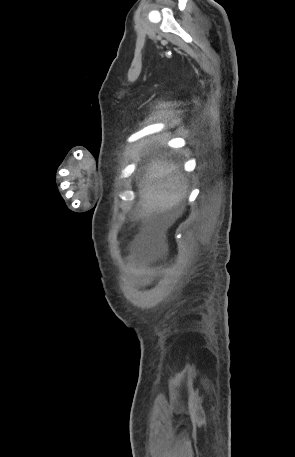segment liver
I'll list each match as a JSON object with an SVG mask.
<instances>
[{
  "mask_svg": "<svg viewBox=\"0 0 295 457\" xmlns=\"http://www.w3.org/2000/svg\"><path fill=\"white\" fill-rule=\"evenodd\" d=\"M135 215L149 218L179 205L186 197L188 182L179 166L166 160H152L139 185Z\"/></svg>",
  "mask_w": 295,
  "mask_h": 457,
  "instance_id": "obj_1",
  "label": "liver"
}]
</instances>
